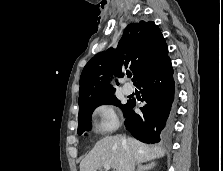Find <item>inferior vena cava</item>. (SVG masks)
I'll return each mask as SVG.
<instances>
[{
    "mask_svg": "<svg viewBox=\"0 0 223 171\" xmlns=\"http://www.w3.org/2000/svg\"><path fill=\"white\" fill-rule=\"evenodd\" d=\"M122 143L127 144L126 137H122ZM135 162L133 159V156L131 154V151L129 148H127L126 151V160H125V171H134Z\"/></svg>",
    "mask_w": 223,
    "mask_h": 171,
    "instance_id": "602c4592",
    "label": "inferior vena cava"
}]
</instances>
